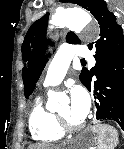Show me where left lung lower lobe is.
Here are the masks:
<instances>
[{
    "mask_svg": "<svg viewBox=\"0 0 124 149\" xmlns=\"http://www.w3.org/2000/svg\"><path fill=\"white\" fill-rule=\"evenodd\" d=\"M93 76L87 88L94 90L96 119L114 120L124 130V50L99 61Z\"/></svg>",
    "mask_w": 124,
    "mask_h": 149,
    "instance_id": "1",
    "label": "left lung lower lobe"
}]
</instances>
